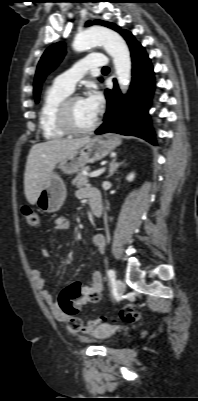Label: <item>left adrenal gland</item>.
Segmentation results:
<instances>
[{
	"mask_svg": "<svg viewBox=\"0 0 198 401\" xmlns=\"http://www.w3.org/2000/svg\"><path fill=\"white\" fill-rule=\"evenodd\" d=\"M116 159L117 157H115L109 164V175L107 176V178L111 177L116 172V170L124 163V161L117 163Z\"/></svg>",
	"mask_w": 198,
	"mask_h": 401,
	"instance_id": "a2214340",
	"label": "left adrenal gland"
}]
</instances>
